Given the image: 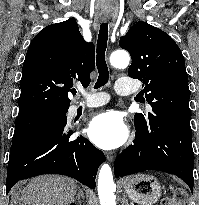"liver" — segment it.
Listing matches in <instances>:
<instances>
[{"label":"liver","instance_id":"6515ba94","mask_svg":"<svg viewBox=\"0 0 199 205\" xmlns=\"http://www.w3.org/2000/svg\"><path fill=\"white\" fill-rule=\"evenodd\" d=\"M77 185L64 176L33 178L24 192L26 205H70L74 202Z\"/></svg>","mask_w":199,"mask_h":205}]
</instances>
